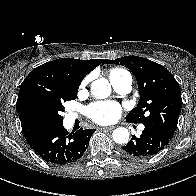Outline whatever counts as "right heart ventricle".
Returning a JSON list of instances; mask_svg holds the SVG:
<instances>
[{"mask_svg":"<svg viewBox=\"0 0 196 196\" xmlns=\"http://www.w3.org/2000/svg\"><path fill=\"white\" fill-rule=\"evenodd\" d=\"M125 73H126L125 70H122L119 68H113L109 71L110 80L119 78L120 76L124 75Z\"/></svg>","mask_w":196,"mask_h":196,"instance_id":"obj_1","label":"right heart ventricle"}]
</instances>
